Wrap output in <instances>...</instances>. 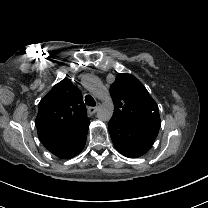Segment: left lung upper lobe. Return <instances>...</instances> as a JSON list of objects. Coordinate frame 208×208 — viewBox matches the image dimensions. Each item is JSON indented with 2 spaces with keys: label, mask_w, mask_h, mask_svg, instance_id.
Returning <instances> with one entry per match:
<instances>
[{
  "label": "left lung upper lobe",
  "mask_w": 208,
  "mask_h": 208,
  "mask_svg": "<svg viewBox=\"0 0 208 208\" xmlns=\"http://www.w3.org/2000/svg\"><path fill=\"white\" fill-rule=\"evenodd\" d=\"M110 94L114 102L111 119L132 126L153 144L161 120L158 106L145 86L133 75L120 73L111 85Z\"/></svg>",
  "instance_id": "obj_1"
}]
</instances>
